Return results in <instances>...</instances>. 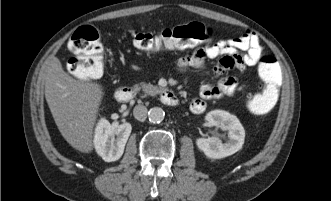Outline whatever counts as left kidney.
I'll use <instances>...</instances> for the list:
<instances>
[{
  "instance_id": "1",
  "label": "left kidney",
  "mask_w": 331,
  "mask_h": 201,
  "mask_svg": "<svg viewBox=\"0 0 331 201\" xmlns=\"http://www.w3.org/2000/svg\"><path fill=\"white\" fill-rule=\"evenodd\" d=\"M206 121L210 126L228 130V141H222L216 137L198 138L196 145L208 158L221 159L230 156L242 148L245 139V130L235 115L223 110L209 112Z\"/></svg>"
}]
</instances>
